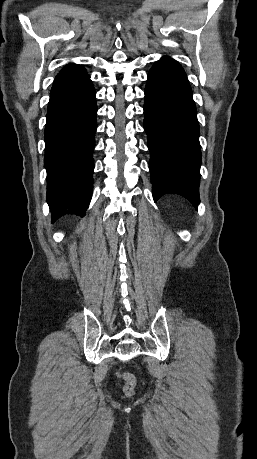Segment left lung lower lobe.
Wrapping results in <instances>:
<instances>
[{"mask_svg": "<svg viewBox=\"0 0 257 459\" xmlns=\"http://www.w3.org/2000/svg\"><path fill=\"white\" fill-rule=\"evenodd\" d=\"M144 116L154 201L174 193L197 208L201 164L197 110L186 74L171 58L163 57L148 73Z\"/></svg>", "mask_w": 257, "mask_h": 459, "instance_id": "left-lung-lower-lobe-1", "label": "left lung lower lobe"}]
</instances>
